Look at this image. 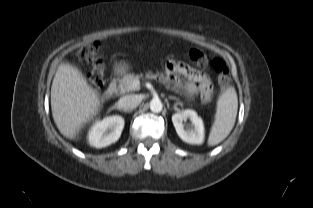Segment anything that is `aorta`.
<instances>
[{"mask_svg":"<svg viewBox=\"0 0 313 208\" xmlns=\"http://www.w3.org/2000/svg\"><path fill=\"white\" fill-rule=\"evenodd\" d=\"M163 105L160 99H152L150 102V109L154 113H159L162 111Z\"/></svg>","mask_w":313,"mask_h":208,"instance_id":"obj_1","label":"aorta"}]
</instances>
